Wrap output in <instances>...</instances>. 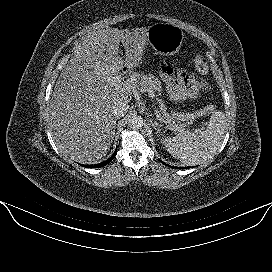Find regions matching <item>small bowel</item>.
Instances as JSON below:
<instances>
[{
  "mask_svg": "<svg viewBox=\"0 0 272 272\" xmlns=\"http://www.w3.org/2000/svg\"><path fill=\"white\" fill-rule=\"evenodd\" d=\"M162 76L171 99L177 102L194 99L201 91L208 89L204 81L194 75L174 69L169 63L162 66Z\"/></svg>",
  "mask_w": 272,
  "mask_h": 272,
  "instance_id": "1",
  "label": "small bowel"
}]
</instances>
